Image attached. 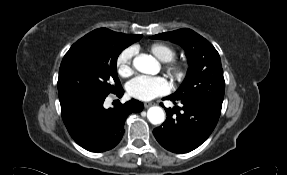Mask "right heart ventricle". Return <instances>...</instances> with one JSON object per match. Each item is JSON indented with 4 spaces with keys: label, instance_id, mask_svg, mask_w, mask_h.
<instances>
[{
    "label": "right heart ventricle",
    "instance_id": "e07e8e85",
    "mask_svg": "<svg viewBox=\"0 0 287 175\" xmlns=\"http://www.w3.org/2000/svg\"><path fill=\"white\" fill-rule=\"evenodd\" d=\"M148 51L162 62H169L176 56V49L164 42H155L148 46Z\"/></svg>",
    "mask_w": 287,
    "mask_h": 175
}]
</instances>
